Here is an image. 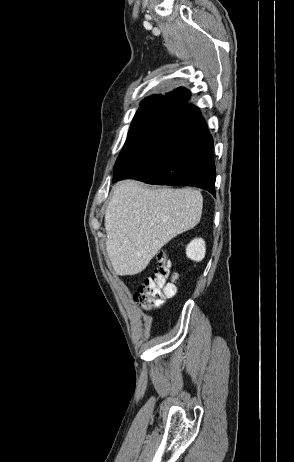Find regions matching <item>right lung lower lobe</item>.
<instances>
[{"instance_id":"98d812e1","label":"right lung lower lobe","mask_w":294,"mask_h":462,"mask_svg":"<svg viewBox=\"0 0 294 462\" xmlns=\"http://www.w3.org/2000/svg\"><path fill=\"white\" fill-rule=\"evenodd\" d=\"M213 139L199 109H186L156 140L140 150L113 182L136 179L149 184L196 186L215 195Z\"/></svg>"}]
</instances>
